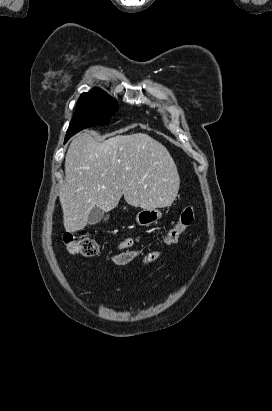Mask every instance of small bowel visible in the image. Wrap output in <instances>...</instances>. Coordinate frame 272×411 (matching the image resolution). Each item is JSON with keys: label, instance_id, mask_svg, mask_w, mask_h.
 Returning <instances> with one entry per match:
<instances>
[{"label": "small bowel", "instance_id": "small-bowel-1", "mask_svg": "<svg viewBox=\"0 0 272 411\" xmlns=\"http://www.w3.org/2000/svg\"><path fill=\"white\" fill-rule=\"evenodd\" d=\"M133 242H134L133 239L128 238V239H126L125 241L122 242L121 248H127V247L131 246ZM160 255H161L160 251L149 252L143 258V263L144 264L151 263V262L155 261L156 259H158L160 257Z\"/></svg>", "mask_w": 272, "mask_h": 411}]
</instances>
